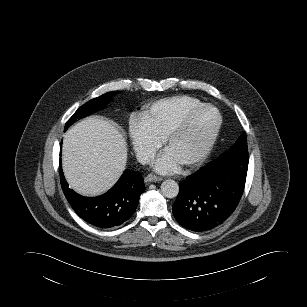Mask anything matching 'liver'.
<instances>
[{
    "instance_id": "1",
    "label": "liver",
    "mask_w": 307,
    "mask_h": 307,
    "mask_svg": "<svg viewBox=\"0 0 307 307\" xmlns=\"http://www.w3.org/2000/svg\"><path fill=\"white\" fill-rule=\"evenodd\" d=\"M127 161L123 133L110 121L89 117L76 123L64 135L62 168L77 193L100 195L121 176Z\"/></svg>"
}]
</instances>
